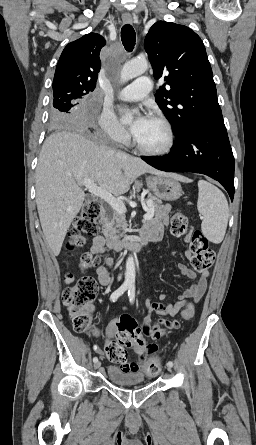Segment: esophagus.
Here are the masks:
<instances>
[{"label": "esophagus", "mask_w": 256, "mask_h": 445, "mask_svg": "<svg viewBox=\"0 0 256 445\" xmlns=\"http://www.w3.org/2000/svg\"><path fill=\"white\" fill-rule=\"evenodd\" d=\"M123 22L124 23H126V24H132L133 23V19H132V17H123Z\"/></svg>", "instance_id": "esophagus-1"}]
</instances>
